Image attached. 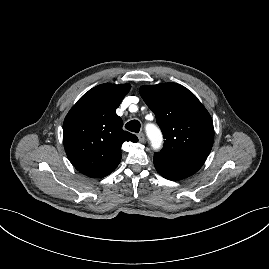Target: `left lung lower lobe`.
<instances>
[{"label":"left lung lower lobe","mask_w":269,"mask_h":269,"mask_svg":"<svg viewBox=\"0 0 269 269\" xmlns=\"http://www.w3.org/2000/svg\"><path fill=\"white\" fill-rule=\"evenodd\" d=\"M204 164L202 161L176 159L154 154V166L158 173L169 180H180L196 173Z\"/></svg>","instance_id":"0a47b994"}]
</instances>
